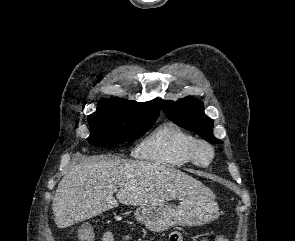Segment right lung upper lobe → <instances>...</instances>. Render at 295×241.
I'll list each match as a JSON object with an SVG mask.
<instances>
[{
  "label": "right lung upper lobe",
  "mask_w": 295,
  "mask_h": 241,
  "mask_svg": "<svg viewBox=\"0 0 295 241\" xmlns=\"http://www.w3.org/2000/svg\"><path fill=\"white\" fill-rule=\"evenodd\" d=\"M110 100L121 102L129 107L136 108V109L145 111L149 114H153L156 116H158L159 112H160V103H159L158 98L148 101V102H144V103H138L136 101H128L126 99H122V98H118V97L112 98Z\"/></svg>",
  "instance_id": "right-lung-upper-lobe-1"
}]
</instances>
